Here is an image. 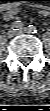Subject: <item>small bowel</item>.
Returning a JSON list of instances; mask_svg holds the SVG:
<instances>
[{"mask_svg": "<svg viewBox=\"0 0 50 111\" xmlns=\"http://www.w3.org/2000/svg\"><path fill=\"white\" fill-rule=\"evenodd\" d=\"M18 12H19V9L9 8V9L6 10V12L4 13L3 18H4L6 21H9V20H11ZM37 13H38L39 15L45 16V15L48 14V11H46V10H38Z\"/></svg>", "mask_w": 50, "mask_h": 111, "instance_id": "c3829d8e", "label": "small bowel"}]
</instances>
